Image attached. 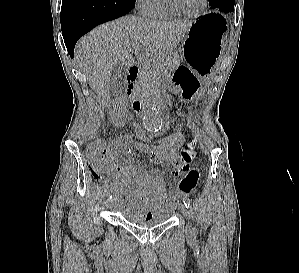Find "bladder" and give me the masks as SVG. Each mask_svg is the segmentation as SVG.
<instances>
[{
  "instance_id": "bladder-1",
  "label": "bladder",
  "mask_w": 299,
  "mask_h": 273,
  "mask_svg": "<svg viewBox=\"0 0 299 273\" xmlns=\"http://www.w3.org/2000/svg\"><path fill=\"white\" fill-rule=\"evenodd\" d=\"M173 208L155 209L152 211L151 216L148 217L144 216L137 210H125L122 212V217L127 223L133 226L140 228H150L168 222L172 216Z\"/></svg>"
}]
</instances>
